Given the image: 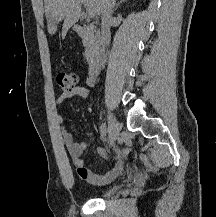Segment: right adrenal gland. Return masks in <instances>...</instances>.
Segmentation results:
<instances>
[{"label":"right adrenal gland","instance_id":"right-adrenal-gland-1","mask_svg":"<svg viewBox=\"0 0 216 217\" xmlns=\"http://www.w3.org/2000/svg\"><path fill=\"white\" fill-rule=\"evenodd\" d=\"M126 0H120V2L117 4V7H116V9L123 3V2H125Z\"/></svg>","mask_w":216,"mask_h":217}]
</instances>
